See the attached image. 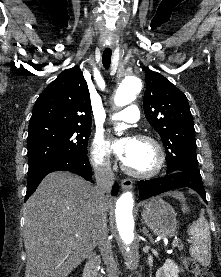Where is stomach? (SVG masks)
<instances>
[{
    "label": "stomach",
    "mask_w": 221,
    "mask_h": 277,
    "mask_svg": "<svg viewBox=\"0 0 221 277\" xmlns=\"http://www.w3.org/2000/svg\"><path fill=\"white\" fill-rule=\"evenodd\" d=\"M174 208L161 197H154L147 202L142 211L145 224L158 236L171 237L177 230Z\"/></svg>",
    "instance_id": "obj_1"
}]
</instances>
